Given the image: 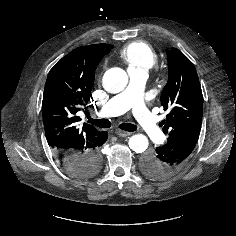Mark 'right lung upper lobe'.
Wrapping results in <instances>:
<instances>
[{
	"mask_svg": "<svg viewBox=\"0 0 236 236\" xmlns=\"http://www.w3.org/2000/svg\"><path fill=\"white\" fill-rule=\"evenodd\" d=\"M112 46H82L58 61L50 70L43 93L42 116L48 145L57 153L87 154L102 132L89 124L78 126L80 106L90 100L95 70Z\"/></svg>",
	"mask_w": 236,
	"mask_h": 236,
	"instance_id": "1",
	"label": "right lung upper lobe"
}]
</instances>
